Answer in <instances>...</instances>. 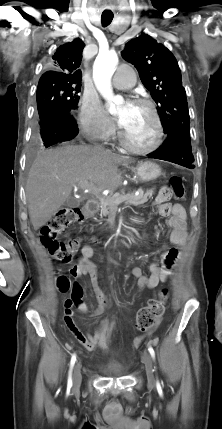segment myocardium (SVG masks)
<instances>
[{"mask_svg": "<svg viewBox=\"0 0 222 429\" xmlns=\"http://www.w3.org/2000/svg\"><path fill=\"white\" fill-rule=\"evenodd\" d=\"M134 103L141 104L148 108L154 122V128H155L154 140L148 146H145V147L136 146L128 140L123 129L119 131V140L121 144L130 152H133L135 154H149L156 151L162 143L163 136H164L163 124H162L160 115L156 109V106L151 100L147 98H137L134 101Z\"/></svg>", "mask_w": 222, "mask_h": 429, "instance_id": "myocardium-1", "label": "myocardium"}]
</instances>
